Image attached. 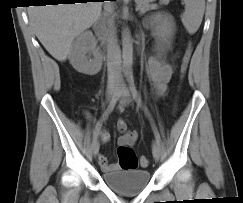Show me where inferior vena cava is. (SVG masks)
Returning a JSON list of instances; mask_svg holds the SVG:
<instances>
[{"instance_id":"602c4592","label":"inferior vena cava","mask_w":243,"mask_h":203,"mask_svg":"<svg viewBox=\"0 0 243 203\" xmlns=\"http://www.w3.org/2000/svg\"><path fill=\"white\" fill-rule=\"evenodd\" d=\"M106 34H107V67L108 76L118 79L121 72V51L114 28V20L111 16V10L105 12Z\"/></svg>"}]
</instances>
